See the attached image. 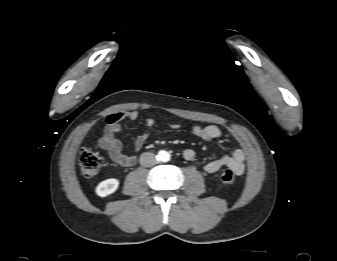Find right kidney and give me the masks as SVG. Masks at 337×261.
Listing matches in <instances>:
<instances>
[{
  "instance_id": "obj_1",
  "label": "right kidney",
  "mask_w": 337,
  "mask_h": 261,
  "mask_svg": "<svg viewBox=\"0 0 337 261\" xmlns=\"http://www.w3.org/2000/svg\"><path fill=\"white\" fill-rule=\"evenodd\" d=\"M119 187V180L115 178L106 179L100 182L96 187V194L105 197L114 193Z\"/></svg>"
}]
</instances>
